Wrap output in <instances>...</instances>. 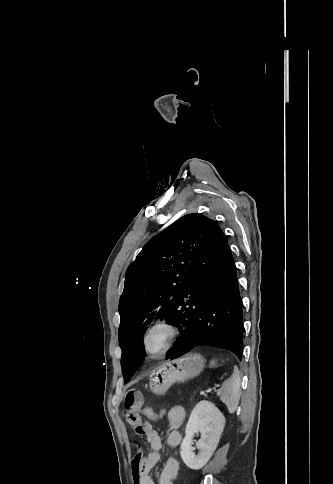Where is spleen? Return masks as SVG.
<instances>
[{
	"label": "spleen",
	"instance_id": "obj_1",
	"mask_svg": "<svg viewBox=\"0 0 333 484\" xmlns=\"http://www.w3.org/2000/svg\"><path fill=\"white\" fill-rule=\"evenodd\" d=\"M240 376L237 367H234L232 376L224 381L221 389L217 391V395L220 400L226 405L230 414L234 413L237 409L240 399Z\"/></svg>",
	"mask_w": 333,
	"mask_h": 484
}]
</instances>
